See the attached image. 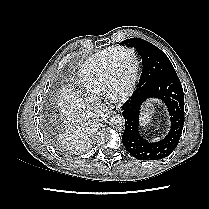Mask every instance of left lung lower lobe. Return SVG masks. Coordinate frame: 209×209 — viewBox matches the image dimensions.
Instances as JSON below:
<instances>
[{
	"label": "left lung lower lobe",
	"mask_w": 209,
	"mask_h": 209,
	"mask_svg": "<svg viewBox=\"0 0 209 209\" xmlns=\"http://www.w3.org/2000/svg\"><path fill=\"white\" fill-rule=\"evenodd\" d=\"M150 98L160 99L170 116L169 132L157 142L148 141L140 134L141 106ZM122 110L125 119L122 142L133 157L143 161L160 160L175 150L184 125V95L177 74L164 76L147 87H137L122 106Z\"/></svg>",
	"instance_id": "left-lung-lower-lobe-1"
}]
</instances>
